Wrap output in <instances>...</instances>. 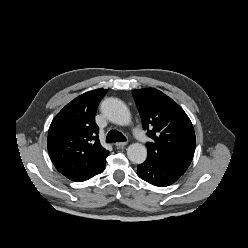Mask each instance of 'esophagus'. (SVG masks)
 <instances>
[{
    "label": "esophagus",
    "instance_id": "1",
    "mask_svg": "<svg viewBox=\"0 0 248 248\" xmlns=\"http://www.w3.org/2000/svg\"><path fill=\"white\" fill-rule=\"evenodd\" d=\"M126 145H127V142H117V143L115 144V146H116L118 149H122V148H124Z\"/></svg>",
    "mask_w": 248,
    "mask_h": 248
}]
</instances>
